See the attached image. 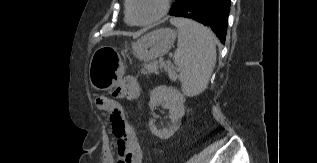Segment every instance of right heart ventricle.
<instances>
[{
	"mask_svg": "<svg viewBox=\"0 0 317 163\" xmlns=\"http://www.w3.org/2000/svg\"><path fill=\"white\" fill-rule=\"evenodd\" d=\"M125 21L128 23V24H132L128 18V15H127V12L125 13Z\"/></svg>",
	"mask_w": 317,
	"mask_h": 163,
	"instance_id": "e07e8e85",
	"label": "right heart ventricle"
}]
</instances>
